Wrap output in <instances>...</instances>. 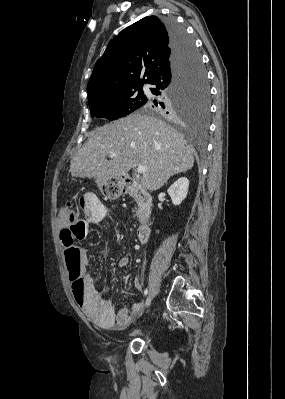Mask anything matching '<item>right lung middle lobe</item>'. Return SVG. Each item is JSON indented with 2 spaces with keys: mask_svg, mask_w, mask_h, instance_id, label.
I'll list each match as a JSON object with an SVG mask.
<instances>
[{
  "mask_svg": "<svg viewBox=\"0 0 285 399\" xmlns=\"http://www.w3.org/2000/svg\"><path fill=\"white\" fill-rule=\"evenodd\" d=\"M191 40L193 41L192 38ZM161 96L172 102L170 109L160 105V102L154 105L151 99L143 93L142 87L92 99L88 101V104L91 117L106 118L110 121L125 117L142 106L154 109L164 115L184 117L196 114L206 117L209 111V87L201 57L196 48L193 59L180 81L171 89L170 93L165 92Z\"/></svg>",
  "mask_w": 285,
  "mask_h": 399,
  "instance_id": "1",
  "label": "right lung middle lobe"
}]
</instances>
